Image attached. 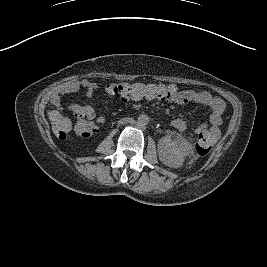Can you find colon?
I'll use <instances>...</instances> for the list:
<instances>
[{
    "mask_svg": "<svg viewBox=\"0 0 267 267\" xmlns=\"http://www.w3.org/2000/svg\"><path fill=\"white\" fill-rule=\"evenodd\" d=\"M106 91L121 100L140 99V98H159L163 100H174L177 97V90L172 86L160 84H143V83H113L106 87ZM77 123L86 126L85 118L81 111L75 112ZM51 127L54 135L58 138H66L72 130V121L66 115L58 112L51 117ZM92 132L88 129L83 133L90 136ZM214 140L208 133L199 135L196 145L198 156H206L213 147Z\"/></svg>",
    "mask_w": 267,
    "mask_h": 267,
    "instance_id": "5ec220e1",
    "label": "colon"
}]
</instances>
